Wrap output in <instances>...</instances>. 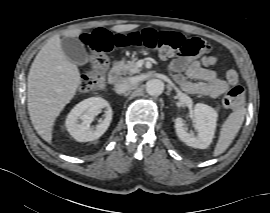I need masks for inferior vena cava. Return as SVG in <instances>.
<instances>
[{
    "instance_id": "inferior-vena-cava-1",
    "label": "inferior vena cava",
    "mask_w": 270,
    "mask_h": 213,
    "mask_svg": "<svg viewBox=\"0 0 270 213\" xmlns=\"http://www.w3.org/2000/svg\"><path fill=\"white\" fill-rule=\"evenodd\" d=\"M133 86V82L129 78H123L117 81L114 90L117 94H123Z\"/></svg>"
}]
</instances>
